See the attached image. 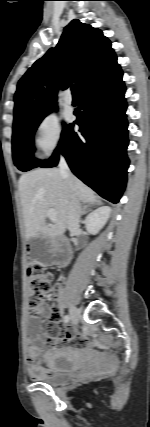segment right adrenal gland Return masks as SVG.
I'll return each mask as SVG.
<instances>
[{
  "mask_svg": "<svg viewBox=\"0 0 150 427\" xmlns=\"http://www.w3.org/2000/svg\"><path fill=\"white\" fill-rule=\"evenodd\" d=\"M93 205L100 206V205H102V202H100V201H95L94 203H91V204H87V205H85V206H84V208H83V211H82L81 216H82V215H85V214L87 213V211H88L90 208H92V207H93Z\"/></svg>",
  "mask_w": 150,
  "mask_h": 427,
  "instance_id": "obj_1",
  "label": "right adrenal gland"
}]
</instances>
